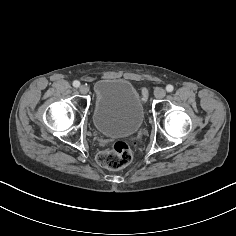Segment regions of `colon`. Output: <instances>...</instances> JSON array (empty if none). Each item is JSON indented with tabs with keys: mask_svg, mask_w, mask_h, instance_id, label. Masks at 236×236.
<instances>
[{
	"mask_svg": "<svg viewBox=\"0 0 236 236\" xmlns=\"http://www.w3.org/2000/svg\"><path fill=\"white\" fill-rule=\"evenodd\" d=\"M143 99L147 98V90H142ZM97 163L105 168L118 170L126 167L132 160L129 145L123 141L115 142L109 150L100 152L96 157Z\"/></svg>",
	"mask_w": 236,
	"mask_h": 236,
	"instance_id": "5ec220e1",
	"label": "colon"
}]
</instances>
